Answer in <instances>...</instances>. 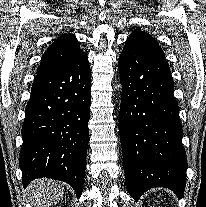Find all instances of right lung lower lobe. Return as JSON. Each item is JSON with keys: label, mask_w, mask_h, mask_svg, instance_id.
Masks as SVG:
<instances>
[{"label": "right lung lower lobe", "mask_w": 206, "mask_h": 207, "mask_svg": "<svg viewBox=\"0 0 206 207\" xmlns=\"http://www.w3.org/2000/svg\"><path fill=\"white\" fill-rule=\"evenodd\" d=\"M91 71L87 55L61 70L37 75L22 127L23 185L48 177L81 196L89 140Z\"/></svg>", "instance_id": "1"}]
</instances>
